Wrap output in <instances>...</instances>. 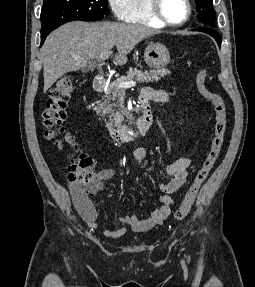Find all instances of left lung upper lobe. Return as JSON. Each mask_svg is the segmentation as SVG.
<instances>
[{
    "mask_svg": "<svg viewBox=\"0 0 255 287\" xmlns=\"http://www.w3.org/2000/svg\"><path fill=\"white\" fill-rule=\"evenodd\" d=\"M197 4L198 19L212 27L215 25V10L213 8V0H195Z\"/></svg>",
    "mask_w": 255,
    "mask_h": 287,
    "instance_id": "left-lung-upper-lobe-1",
    "label": "left lung upper lobe"
}]
</instances>
